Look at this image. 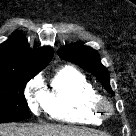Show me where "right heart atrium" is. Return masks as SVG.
Returning <instances> with one entry per match:
<instances>
[{
    "label": "right heart atrium",
    "mask_w": 136,
    "mask_h": 136,
    "mask_svg": "<svg viewBox=\"0 0 136 136\" xmlns=\"http://www.w3.org/2000/svg\"><path fill=\"white\" fill-rule=\"evenodd\" d=\"M25 96L30 109L38 113L40 107L45 105V96L41 91V83L38 79L32 80L26 87Z\"/></svg>",
    "instance_id": "obj_1"
}]
</instances>
